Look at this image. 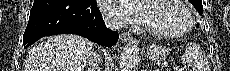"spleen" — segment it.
I'll use <instances>...</instances> for the list:
<instances>
[{
  "label": "spleen",
  "mask_w": 230,
  "mask_h": 71,
  "mask_svg": "<svg viewBox=\"0 0 230 71\" xmlns=\"http://www.w3.org/2000/svg\"><path fill=\"white\" fill-rule=\"evenodd\" d=\"M181 62L193 71H207L209 70L208 62L200 49V47L193 43H188L185 47V52L181 57Z\"/></svg>",
  "instance_id": "obj_1"
}]
</instances>
